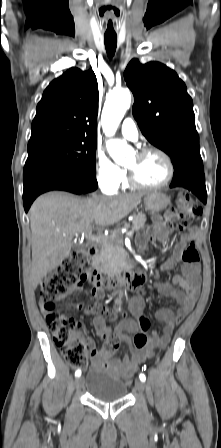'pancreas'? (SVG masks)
I'll list each match as a JSON object with an SVG mask.
<instances>
[{
  "mask_svg": "<svg viewBox=\"0 0 221 448\" xmlns=\"http://www.w3.org/2000/svg\"><path fill=\"white\" fill-rule=\"evenodd\" d=\"M145 222L146 217L144 214L135 215L132 221L133 232L142 229L145 226ZM125 257L126 253L123 248V239L120 234L115 233L102 245L99 264L105 273H116L124 265Z\"/></svg>",
  "mask_w": 221,
  "mask_h": 448,
  "instance_id": "pancreas-1",
  "label": "pancreas"
}]
</instances>
